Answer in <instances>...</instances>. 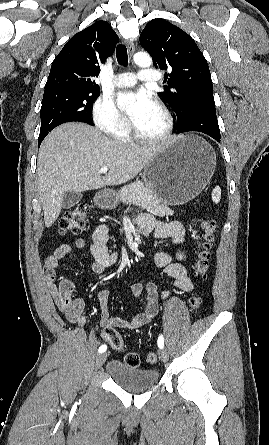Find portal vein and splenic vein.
<instances>
[{
    "label": "portal vein and splenic vein",
    "instance_id": "portal-vein-and-splenic-vein-1",
    "mask_svg": "<svg viewBox=\"0 0 269 445\" xmlns=\"http://www.w3.org/2000/svg\"><path fill=\"white\" fill-rule=\"evenodd\" d=\"M107 171H108V167H102V168L99 170V172H100L101 174H105V173H107Z\"/></svg>",
    "mask_w": 269,
    "mask_h": 445
}]
</instances>
